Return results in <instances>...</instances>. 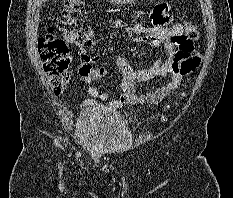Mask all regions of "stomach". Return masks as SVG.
Listing matches in <instances>:
<instances>
[{
  "label": "stomach",
  "instance_id": "1",
  "mask_svg": "<svg viewBox=\"0 0 233 198\" xmlns=\"http://www.w3.org/2000/svg\"><path fill=\"white\" fill-rule=\"evenodd\" d=\"M111 3L116 5H124L134 3L136 0H109Z\"/></svg>",
  "mask_w": 233,
  "mask_h": 198
}]
</instances>
